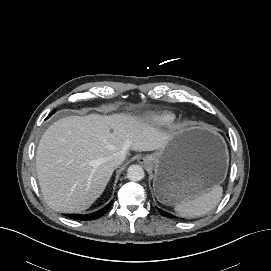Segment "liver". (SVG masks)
<instances>
[{"label": "liver", "instance_id": "1", "mask_svg": "<svg viewBox=\"0 0 271 271\" xmlns=\"http://www.w3.org/2000/svg\"><path fill=\"white\" fill-rule=\"evenodd\" d=\"M144 120L123 114L71 116L53 123L42 136L36 169L46 203L62 213L89 208L105 190L116 152L161 149L170 138Z\"/></svg>", "mask_w": 271, "mask_h": 271}]
</instances>
